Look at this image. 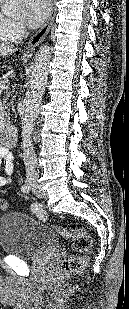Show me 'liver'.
I'll use <instances>...</instances> for the list:
<instances>
[{"label":"liver","mask_w":129,"mask_h":309,"mask_svg":"<svg viewBox=\"0 0 129 309\" xmlns=\"http://www.w3.org/2000/svg\"><path fill=\"white\" fill-rule=\"evenodd\" d=\"M18 50L17 47L8 43H0V57H6Z\"/></svg>","instance_id":"obj_1"}]
</instances>
